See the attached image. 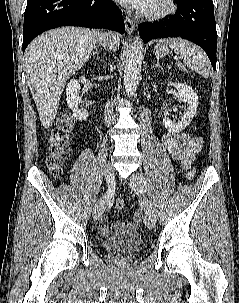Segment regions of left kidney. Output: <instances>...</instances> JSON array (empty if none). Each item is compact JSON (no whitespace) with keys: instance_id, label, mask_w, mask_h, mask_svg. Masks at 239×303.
I'll list each match as a JSON object with an SVG mask.
<instances>
[{"instance_id":"5707ae66","label":"left kidney","mask_w":239,"mask_h":303,"mask_svg":"<svg viewBox=\"0 0 239 303\" xmlns=\"http://www.w3.org/2000/svg\"><path fill=\"white\" fill-rule=\"evenodd\" d=\"M167 85L174 86L178 90L177 98L179 101L187 104V109H185L181 120L178 122L172 121L168 117L163 119V124L169 132L179 133L191 123L196 114L199 104L198 95L190 86L184 83L168 82Z\"/></svg>"}]
</instances>
